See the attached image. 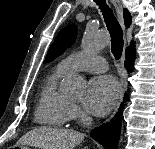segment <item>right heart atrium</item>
Segmentation results:
<instances>
[{
    "mask_svg": "<svg viewBox=\"0 0 155 149\" xmlns=\"http://www.w3.org/2000/svg\"><path fill=\"white\" fill-rule=\"evenodd\" d=\"M70 117L72 120H76L80 123H86L89 121V117L86 113L76 104L70 105Z\"/></svg>",
    "mask_w": 155,
    "mask_h": 149,
    "instance_id": "1",
    "label": "right heart atrium"
}]
</instances>
